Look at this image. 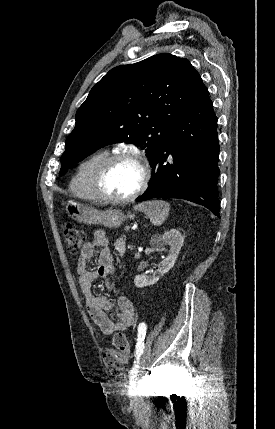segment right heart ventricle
Listing matches in <instances>:
<instances>
[{"label":"right heart ventricle","instance_id":"right-heart-ventricle-1","mask_svg":"<svg viewBox=\"0 0 275 429\" xmlns=\"http://www.w3.org/2000/svg\"><path fill=\"white\" fill-rule=\"evenodd\" d=\"M107 156H109L107 150H98L79 164L70 182V190L75 196L86 201L97 200L92 180L96 169Z\"/></svg>","mask_w":275,"mask_h":429}]
</instances>
